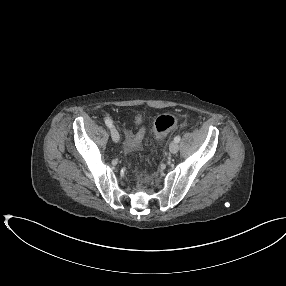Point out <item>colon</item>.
Instances as JSON below:
<instances>
[{"instance_id":"colon-1","label":"colon","mask_w":286,"mask_h":286,"mask_svg":"<svg viewBox=\"0 0 286 286\" xmlns=\"http://www.w3.org/2000/svg\"><path fill=\"white\" fill-rule=\"evenodd\" d=\"M177 124V118L173 115H161L159 116L153 127L155 138L162 139L170 130H172ZM144 131L140 130L137 134L132 135L127 139L125 145V151L131 152L138 148L143 140Z\"/></svg>"}]
</instances>
